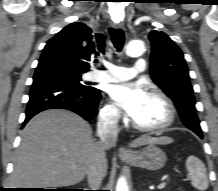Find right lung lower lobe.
Here are the masks:
<instances>
[{
    "label": "right lung lower lobe",
    "mask_w": 218,
    "mask_h": 191,
    "mask_svg": "<svg viewBox=\"0 0 218 191\" xmlns=\"http://www.w3.org/2000/svg\"><path fill=\"white\" fill-rule=\"evenodd\" d=\"M29 96L23 125L47 109L70 110L89 121L96 116L101 99L100 90L77 88L64 77L52 72L34 75Z\"/></svg>",
    "instance_id": "98d812e1"
}]
</instances>
